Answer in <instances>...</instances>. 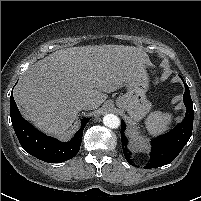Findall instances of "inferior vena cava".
Wrapping results in <instances>:
<instances>
[{"mask_svg":"<svg viewBox=\"0 0 201 201\" xmlns=\"http://www.w3.org/2000/svg\"><path fill=\"white\" fill-rule=\"evenodd\" d=\"M94 107V104L90 101H83L78 104L80 110H89Z\"/></svg>","mask_w":201,"mask_h":201,"instance_id":"obj_1","label":"inferior vena cava"}]
</instances>
